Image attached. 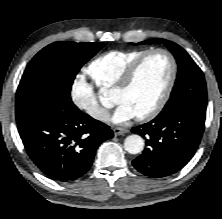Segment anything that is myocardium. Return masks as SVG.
<instances>
[{"label": "myocardium", "mask_w": 222, "mask_h": 219, "mask_svg": "<svg viewBox=\"0 0 222 219\" xmlns=\"http://www.w3.org/2000/svg\"><path fill=\"white\" fill-rule=\"evenodd\" d=\"M161 53L164 54L170 62V74L168 78V82L164 89L163 94L161 95L158 102L147 112L137 115L136 118L140 121L150 120L156 117L165 107L166 103L168 102L172 90L174 88L177 72H178V64L176 61L175 56L165 48H154L147 50L141 56H139L136 60H134L130 66L126 69L123 73L121 79L119 80L118 84L115 86V92H123L127 90L133 83L135 76L142 65V63L152 54Z\"/></svg>", "instance_id": "f54148a6"}]
</instances>
